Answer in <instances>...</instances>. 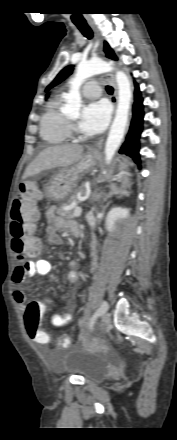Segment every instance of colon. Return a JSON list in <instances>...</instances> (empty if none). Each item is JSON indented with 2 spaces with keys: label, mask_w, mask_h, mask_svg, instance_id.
<instances>
[{
  "label": "colon",
  "mask_w": 177,
  "mask_h": 440,
  "mask_svg": "<svg viewBox=\"0 0 177 440\" xmlns=\"http://www.w3.org/2000/svg\"><path fill=\"white\" fill-rule=\"evenodd\" d=\"M40 199V192L32 181L21 184L19 193L11 207L10 232L13 238L12 250L21 261L26 257L36 255L38 242L33 237L39 213L36 202ZM53 303L51 298H32L24 312V323L30 342H37L38 348H45L54 336L48 330H40V322L44 309ZM55 344L70 346L71 339L67 334H57Z\"/></svg>",
  "instance_id": "1"
}]
</instances>
